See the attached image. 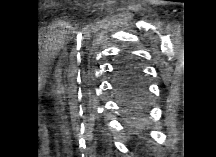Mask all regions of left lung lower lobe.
<instances>
[{
	"label": "left lung lower lobe",
	"instance_id": "left-lung-lower-lobe-1",
	"mask_svg": "<svg viewBox=\"0 0 216 157\" xmlns=\"http://www.w3.org/2000/svg\"><path fill=\"white\" fill-rule=\"evenodd\" d=\"M119 78V75H118ZM115 87L117 92L119 93L120 97L124 102V106L126 108V112L131 114V108L127 105L134 97V93L131 87L127 86L126 84L120 82L118 79L115 83Z\"/></svg>",
	"mask_w": 216,
	"mask_h": 157
}]
</instances>
